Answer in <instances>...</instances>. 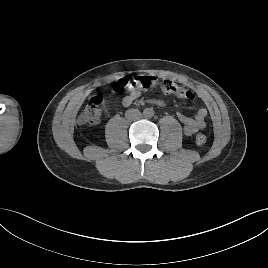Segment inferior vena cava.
Masks as SVG:
<instances>
[{
  "mask_svg": "<svg viewBox=\"0 0 268 268\" xmlns=\"http://www.w3.org/2000/svg\"><path fill=\"white\" fill-rule=\"evenodd\" d=\"M132 114H134V116H131ZM141 116V113L138 110H129L126 113V118L128 119H139Z\"/></svg>",
  "mask_w": 268,
  "mask_h": 268,
  "instance_id": "inferior-vena-cava-1",
  "label": "inferior vena cava"
}]
</instances>
